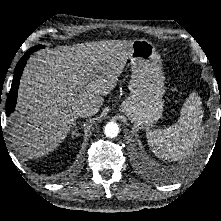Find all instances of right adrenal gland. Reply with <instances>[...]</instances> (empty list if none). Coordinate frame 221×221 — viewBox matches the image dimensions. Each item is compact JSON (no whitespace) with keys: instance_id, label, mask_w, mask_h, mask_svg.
<instances>
[{"instance_id":"2a0ac1e0","label":"right adrenal gland","mask_w":221,"mask_h":221,"mask_svg":"<svg viewBox=\"0 0 221 221\" xmlns=\"http://www.w3.org/2000/svg\"><path fill=\"white\" fill-rule=\"evenodd\" d=\"M76 126V123H74L73 124V126H72V131H71V134H72V136H79V133L77 132V130H74V127Z\"/></svg>"}]
</instances>
